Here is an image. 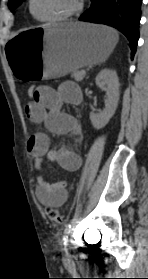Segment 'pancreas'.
<instances>
[{
    "instance_id": "obj_1",
    "label": "pancreas",
    "mask_w": 148,
    "mask_h": 279,
    "mask_svg": "<svg viewBox=\"0 0 148 279\" xmlns=\"http://www.w3.org/2000/svg\"><path fill=\"white\" fill-rule=\"evenodd\" d=\"M71 77L74 78L75 81L79 82V81H82L85 76H82V71H77L76 70V71L73 72Z\"/></svg>"
}]
</instances>
